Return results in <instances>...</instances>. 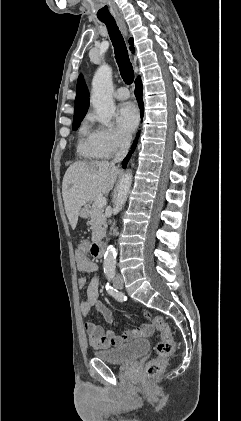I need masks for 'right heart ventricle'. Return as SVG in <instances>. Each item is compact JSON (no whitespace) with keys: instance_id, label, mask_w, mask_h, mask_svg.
Segmentation results:
<instances>
[{"instance_id":"obj_1","label":"right heart ventricle","mask_w":241,"mask_h":421,"mask_svg":"<svg viewBox=\"0 0 241 421\" xmlns=\"http://www.w3.org/2000/svg\"><path fill=\"white\" fill-rule=\"evenodd\" d=\"M79 154L84 158L97 159L102 158L93 139V133L84 123L79 130V140L77 146Z\"/></svg>"}]
</instances>
